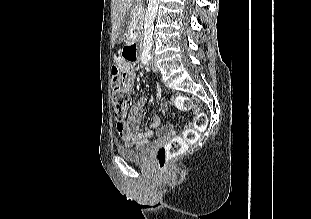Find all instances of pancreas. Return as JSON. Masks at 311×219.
I'll return each mask as SVG.
<instances>
[{"mask_svg":"<svg viewBox=\"0 0 311 219\" xmlns=\"http://www.w3.org/2000/svg\"><path fill=\"white\" fill-rule=\"evenodd\" d=\"M136 7L133 8L132 10V17H131V22H132V27L138 24V21L141 20V15L138 14V10L142 8V3L141 0H136ZM139 25H141V22H139Z\"/></svg>","mask_w":311,"mask_h":219,"instance_id":"cf45deb5","label":"pancreas"}]
</instances>
